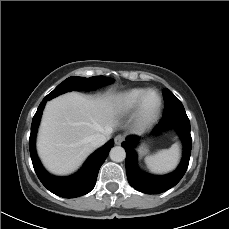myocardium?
Instances as JSON below:
<instances>
[{
  "instance_id": "1",
  "label": "myocardium",
  "mask_w": 229,
  "mask_h": 229,
  "mask_svg": "<svg viewBox=\"0 0 229 229\" xmlns=\"http://www.w3.org/2000/svg\"><path fill=\"white\" fill-rule=\"evenodd\" d=\"M151 94L157 96V103L154 106L148 105V97ZM162 103V97L158 91L154 89L147 90L136 107L135 118L138 125L142 128L150 126L158 118L162 109Z\"/></svg>"
}]
</instances>
